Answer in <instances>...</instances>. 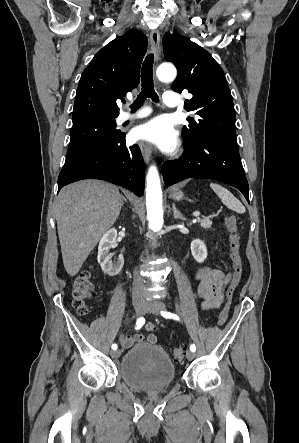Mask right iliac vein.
<instances>
[{
  "label": "right iliac vein",
  "instance_id": "63e3f726",
  "mask_svg": "<svg viewBox=\"0 0 299 443\" xmlns=\"http://www.w3.org/2000/svg\"><path fill=\"white\" fill-rule=\"evenodd\" d=\"M133 306H134L135 312L138 315L143 314L145 309H146V305L144 303H142L141 301H135L133 303ZM111 355H112L113 358L117 359L121 355V352H120V350H116V351H113L111 353Z\"/></svg>",
  "mask_w": 299,
  "mask_h": 443
}]
</instances>
